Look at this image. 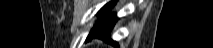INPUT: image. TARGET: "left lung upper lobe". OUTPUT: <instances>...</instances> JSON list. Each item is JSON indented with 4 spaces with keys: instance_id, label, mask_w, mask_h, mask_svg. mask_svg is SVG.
I'll use <instances>...</instances> for the list:
<instances>
[{
    "instance_id": "left-lung-upper-lobe-1",
    "label": "left lung upper lobe",
    "mask_w": 213,
    "mask_h": 48,
    "mask_svg": "<svg viewBox=\"0 0 213 48\" xmlns=\"http://www.w3.org/2000/svg\"><path fill=\"white\" fill-rule=\"evenodd\" d=\"M114 3H115V1H111V2L107 3V4L100 10V12H102V11H104V10L110 8Z\"/></svg>"
}]
</instances>
